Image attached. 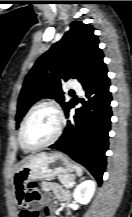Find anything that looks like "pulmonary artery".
<instances>
[{"label": "pulmonary artery", "instance_id": "1", "mask_svg": "<svg viewBox=\"0 0 132 217\" xmlns=\"http://www.w3.org/2000/svg\"><path fill=\"white\" fill-rule=\"evenodd\" d=\"M71 87H72L77 93H79V94L82 93V87H81L80 84H78V83H73V84L71 85Z\"/></svg>", "mask_w": 132, "mask_h": 217}]
</instances>
